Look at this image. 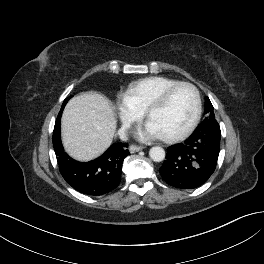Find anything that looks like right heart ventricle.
<instances>
[{
	"label": "right heart ventricle",
	"mask_w": 264,
	"mask_h": 264,
	"mask_svg": "<svg viewBox=\"0 0 264 264\" xmlns=\"http://www.w3.org/2000/svg\"><path fill=\"white\" fill-rule=\"evenodd\" d=\"M177 82V79L166 76L145 77L130 84L124 97L130 104L145 112L167 87Z\"/></svg>",
	"instance_id": "right-heart-ventricle-1"
}]
</instances>
